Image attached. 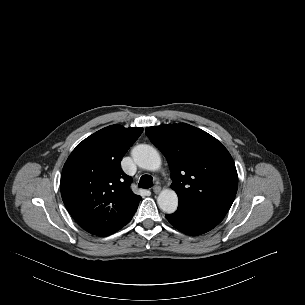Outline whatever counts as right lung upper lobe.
<instances>
[{"instance_id": "right-lung-upper-lobe-1", "label": "right lung upper lobe", "mask_w": 305, "mask_h": 305, "mask_svg": "<svg viewBox=\"0 0 305 305\" xmlns=\"http://www.w3.org/2000/svg\"><path fill=\"white\" fill-rule=\"evenodd\" d=\"M143 128L112 125L87 137L72 151L61 175V196L73 219L95 235L132 216L141 199L130 190L122 157Z\"/></svg>"}]
</instances>
